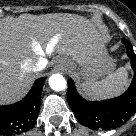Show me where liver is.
Listing matches in <instances>:
<instances>
[{"mask_svg":"<svg viewBox=\"0 0 136 136\" xmlns=\"http://www.w3.org/2000/svg\"><path fill=\"white\" fill-rule=\"evenodd\" d=\"M106 43L105 35L77 15L23 14L18 20L0 21V103L25 92L31 82L28 65L39 58L55 49L61 55L87 57Z\"/></svg>","mask_w":136,"mask_h":136,"instance_id":"6515ba94","label":"liver"}]
</instances>
